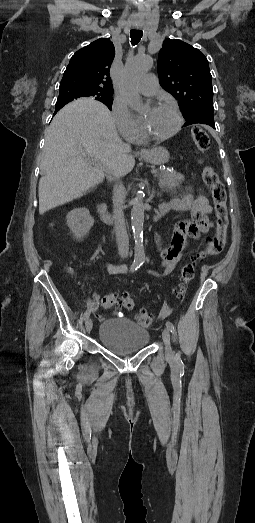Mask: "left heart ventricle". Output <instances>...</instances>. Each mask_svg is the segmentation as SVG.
Returning <instances> with one entry per match:
<instances>
[{
    "mask_svg": "<svg viewBox=\"0 0 255 523\" xmlns=\"http://www.w3.org/2000/svg\"><path fill=\"white\" fill-rule=\"evenodd\" d=\"M177 124L175 111L167 105L146 110L142 119V128L149 137H159L172 132Z\"/></svg>",
    "mask_w": 255,
    "mask_h": 523,
    "instance_id": "obj_1",
    "label": "left heart ventricle"
}]
</instances>
